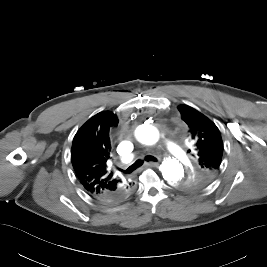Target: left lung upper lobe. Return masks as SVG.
I'll return each mask as SVG.
<instances>
[{"label": "left lung upper lobe", "mask_w": 267, "mask_h": 267, "mask_svg": "<svg viewBox=\"0 0 267 267\" xmlns=\"http://www.w3.org/2000/svg\"><path fill=\"white\" fill-rule=\"evenodd\" d=\"M178 109L197 154L196 166L180 186L185 190L201 189L208 186L219 172L223 154L221 134L217 126L196 109L187 105H180Z\"/></svg>", "instance_id": "1"}]
</instances>
